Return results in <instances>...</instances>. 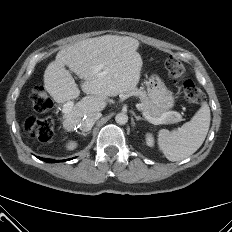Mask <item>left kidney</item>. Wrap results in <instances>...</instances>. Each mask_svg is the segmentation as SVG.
<instances>
[{
    "instance_id": "obj_1",
    "label": "left kidney",
    "mask_w": 232,
    "mask_h": 232,
    "mask_svg": "<svg viewBox=\"0 0 232 232\" xmlns=\"http://www.w3.org/2000/svg\"><path fill=\"white\" fill-rule=\"evenodd\" d=\"M146 143L150 147H152L154 145V139H153L151 134H147Z\"/></svg>"
}]
</instances>
